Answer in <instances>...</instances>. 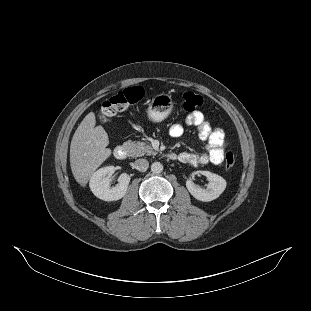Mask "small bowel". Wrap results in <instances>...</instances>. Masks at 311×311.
<instances>
[{
    "label": "small bowel",
    "mask_w": 311,
    "mask_h": 311,
    "mask_svg": "<svg viewBox=\"0 0 311 311\" xmlns=\"http://www.w3.org/2000/svg\"><path fill=\"white\" fill-rule=\"evenodd\" d=\"M185 124L197 128L199 138L206 142V151L203 153L183 152L178 156L176 155V158L191 166L203 165L209 162L215 165L221 164L226 147L224 131L218 127L213 128L206 120L205 115L199 111L189 114ZM183 132L184 126L179 122L174 123L169 129V134L173 138L180 137Z\"/></svg>",
    "instance_id": "c3829d8e"
}]
</instances>
